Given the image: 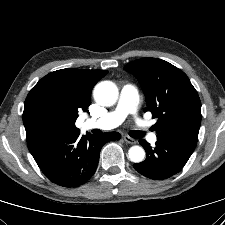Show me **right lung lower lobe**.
<instances>
[{
    "label": "right lung lower lobe",
    "mask_w": 225,
    "mask_h": 225,
    "mask_svg": "<svg viewBox=\"0 0 225 225\" xmlns=\"http://www.w3.org/2000/svg\"><path fill=\"white\" fill-rule=\"evenodd\" d=\"M120 138L118 132H107L103 136L64 133L48 137L29 150L51 182L63 187H78L95 173L103 145Z\"/></svg>",
    "instance_id": "1"
}]
</instances>
